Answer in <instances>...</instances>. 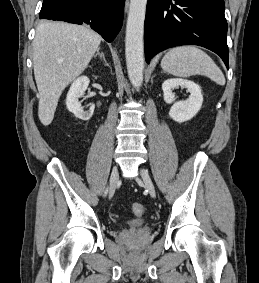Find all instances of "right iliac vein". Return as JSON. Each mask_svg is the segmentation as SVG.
Instances as JSON below:
<instances>
[{"instance_id": "63e3f726", "label": "right iliac vein", "mask_w": 259, "mask_h": 283, "mask_svg": "<svg viewBox=\"0 0 259 283\" xmlns=\"http://www.w3.org/2000/svg\"><path fill=\"white\" fill-rule=\"evenodd\" d=\"M119 179L118 168L115 166L112 169L111 176H110V189H109V198L111 199L114 195L117 183Z\"/></svg>"}]
</instances>
